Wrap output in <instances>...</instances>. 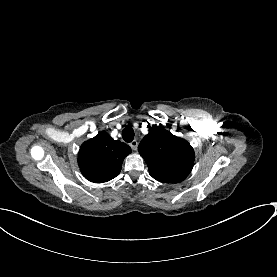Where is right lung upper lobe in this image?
Returning <instances> with one entry per match:
<instances>
[{
  "label": "right lung upper lobe",
  "instance_id": "1",
  "mask_svg": "<svg viewBox=\"0 0 277 277\" xmlns=\"http://www.w3.org/2000/svg\"><path fill=\"white\" fill-rule=\"evenodd\" d=\"M130 153L131 148L127 144L114 140L103 131L82 144L78 165L86 179L103 183L120 173L122 162Z\"/></svg>",
  "mask_w": 277,
  "mask_h": 277
}]
</instances>
